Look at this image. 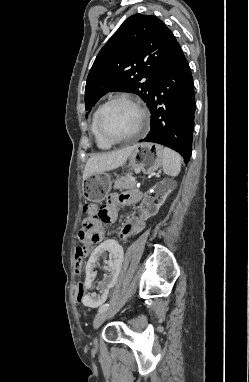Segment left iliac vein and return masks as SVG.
I'll return each instance as SVG.
<instances>
[{"label":"left iliac vein","instance_id":"4c4485c4","mask_svg":"<svg viewBox=\"0 0 249 382\" xmlns=\"http://www.w3.org/2000/svg\"><path fill=\"white\" fill-rule=\"evenodd\" d=\"M108 317V311H100L94 318V328L97 329ZM94 345L97 346V339L94 340Z\"/></svg>","mask_w":249,"mask_h":382}]
</instances>
